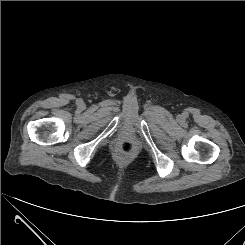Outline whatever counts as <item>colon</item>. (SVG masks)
<instances>
[{
	"label": "colon",
	"mask_w": 245,
	"mask_h": 245,
	"mask_svg": "<svg viewBox=\"0 0 245 245\" xmlns=\"http://www.w3.org/2000/svg\"><path fill=\"white\" fill-rule=\"evenodd\" d=\"M121 150L125 153V154H129L132 151V145L131 143H129L128 141H124L121 144Z\"/></svg>",
	"instance_id": "5ec220e1"
}]
</instances>
